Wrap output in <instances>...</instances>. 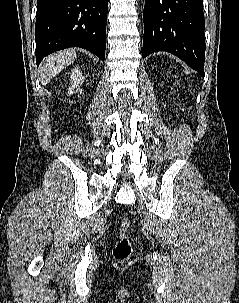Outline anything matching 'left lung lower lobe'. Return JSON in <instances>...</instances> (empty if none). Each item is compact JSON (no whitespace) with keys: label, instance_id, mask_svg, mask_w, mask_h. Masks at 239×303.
Listing matches in <instances>:
<instances>
[{"label":"left lung lower lobe","instance_id":"left-lung-lower-lobe-1","mask_svg":"<svg viewBox=\"0 0 239 303\" xmlns=\"http://www.w3.org/2000/svg\"><path fill=\"white\" fill-rule=\"evenodd\" d=\"M143 19V58L170 52L205 75L203 0H145Z\"/></svg>","mask_w":239,"mask_h":303}]
</instances>
